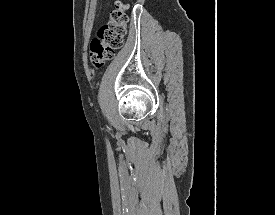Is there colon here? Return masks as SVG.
Segmentation results:
<instances>
[{"label": "colon", "instance_id": "1", "mask_svg": "<svg viewBox=\"0 0 275 215\" xmlns=\"http://www.w3.org/2000/svg\"><path fill=\"white\" fill-rule=\"evenodd\" d=\"M128 6L125 0H116L110 20L100 27L98 36L92 39L89 60L95 68L103 67L106 62L115 57L116 51L122 47L126 34Z\"/></svg>", "mask_w": 275, "mask_h": 215}]
</instances>
